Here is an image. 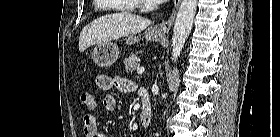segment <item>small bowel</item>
I'll list each match as a JSON object with an SVG mask.
<instances>
[{"label":"small bowel","instance_id":"c3829d8e","mask_svg":"<svg viewBox=\"0 0 280 137\" xmlns=\"http://www.w3.org/2000/svg\"><path fill=\"white\" fill-rule=\"evenodd\" d=\"M97 85L103 90L117 89L122 92H129L131 85L129 81L123 79L120 76H109L106 74H99L96 77ZM117 101L111 94L105 96L103 100V107L107 112H112L116 109ZM82 125L86 134V137H104L99 132L97 126V120L93 114H84L82 116Z\"/></svg>","mask_w":280,"mask_h":137}]
</instances>
